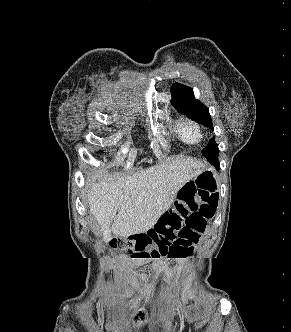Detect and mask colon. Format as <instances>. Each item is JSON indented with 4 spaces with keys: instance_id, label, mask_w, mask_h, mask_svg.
Instances as JSON below:
<instances>
[{
    "instance_id": "5ec220e1",
    "label": "colon",
    "mask_w": 291,
    "mask_h": 332,
    "mask_svg": "<svg viewBox=\"0 0 291 332\" xmlns=\"http://www.w3.org/2000/svg\"><path fill=\"white\" fill-rule=\"evenodd\" d=\"M218 197L208 191L192 188L179 193L174 207L146 233L111 241V247L128 251L132 258L181 259L189 256L208 223L215 215ZM140 311L135 318L144 320Z\"/></svg>"
}]
</instances>
